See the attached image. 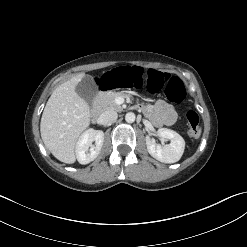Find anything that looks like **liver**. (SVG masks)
Returning <instances> with one entry per match:
<instances>
[{"instance_id": "liver-1", "label": "liver", "mask_w": 247, "mask_h": 247, "mask_svg": "<svg viewBox=\"0 0 247 247\" xmlns=\"http://www.w3.org/2000/svg\"><path fill=\"white\" fill-rule=\"evenodd\" d=\"M84 76V73L77 74L53 91L40 123L46 148L67 164L76 161V144L90 125L89 105L76 92V86Z\"/></svg>"}]
</instances>
